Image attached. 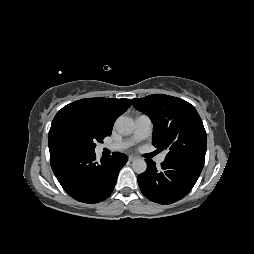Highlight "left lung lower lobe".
<instances>
[{
  "mask_svg": "<svg viewBox=\"0 0 254 254\" xmlns=\"http://www.w3.org/2000/svg\"><path fill=\"white\" fill-rule=\"evenodd\" d=\"M146 162L147 170L137 177L138 184L144 196L160 204H171L186 196L204 166L193 160L165 159L157 169L154 161Z\"/></svg>",
  "mask_w": 254,
  "mask_h": 254,
  "instance_id": "1",
  "label": "left lung lower lobe"
}]
</instances>
